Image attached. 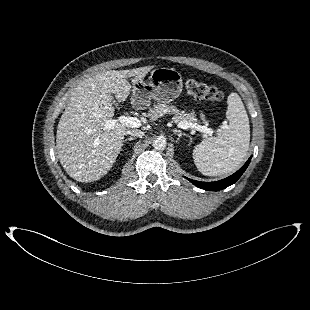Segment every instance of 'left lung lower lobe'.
<instances>
[{"label": "left lung lower lobe", "mask_w": 310, "mask_h": 310, "mask_svg": "<svg viewBox=\"0 0 310 310\" xmlns=\"http://www.w3.org/2000/svg\"><path fill=\"white\" fill-rule=\"evenodd\" d=\"M250 160H251V157L248 159V161L244 164V166L240 170H238L236 173H234L230 177L225 178V179L220 180V181L200 182V181H195V180H191V179H189V180L195 186H197L201 189L210 190V191H219V190H222V189L234 184L241 177V175L244 173V171L246 170L247 166L250 163Z\"/></svg>", "instance_id": "obj_1"}]
</instances>
